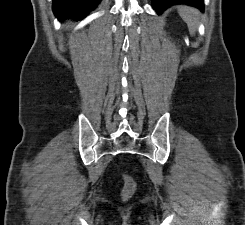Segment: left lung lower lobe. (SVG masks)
Here are the masks:
<instances>
[{
  "mask_svg": "<svg viewBox=\"0 0 245 225\" xmlns=\"http://www.w3.org/2000/svg\"><path fill=\"white\" fill-rule=\"evenodd\" d=\"M153 8L157 11V13H162L169 6L174 4H187L194 6L201 11L204 10V0H151Z\"/></svg>",
  "mask_w": 245,
  "mask_h": 225,
  "instance_id": "obj_1",
  "label": "left lung lower lobe"
}]
</instances>
